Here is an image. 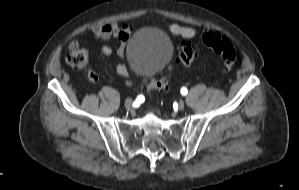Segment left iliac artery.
Instances as JSON below:
<instances>
[{
  "mask_svg": "<svg viewBox=\"0 0 299 190\" xmlns=\"http://www.w3.org/2000/svg\"><path fill=\"white\" fill-rule=\"evenodd\" d=\"M180 92L182 95H186L188 93V90H187V88L182 87Z\"/></svg>",
  "mask_w": 299,
  "mask_h": 190,
  "instance_id": "left-iliac-artery-1",
  "label": "left iliac artery"
}]
</instances>
